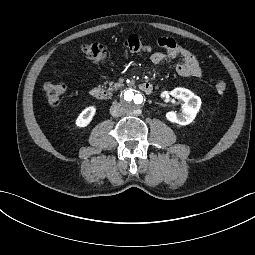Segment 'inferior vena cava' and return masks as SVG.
I'll list each match as a JSON object with an SVG mask.
<instances>
[{
  "instance_id": "1",
  "label": "inferior vena cava",
  "mask_w": 255,
  "mask_h": 255,
  "mask_svg": "<svg viewBox=\"0 0 255 255\" xmlns=\"http://www.w3.org/2000/svg\"><path fill=\"white\" fill-rule=\"evenodd\" d=\"M124 113L125 109L118 102H114L110 107V114L114 117L122 116Z\"/></svg>"
}]
</instances>
